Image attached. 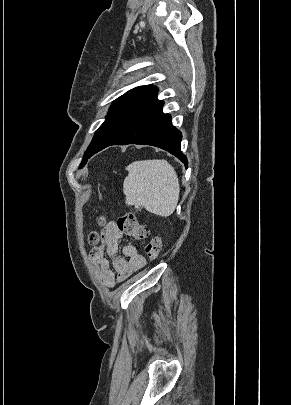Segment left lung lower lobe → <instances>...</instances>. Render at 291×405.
I'll return each mask as SVG.
<instances>
[{
	"mask_svg": "<svg viewBox=\"0 0 291 405\" xmlns=\"http://www.w3.org/2000/svg\"><path fill=\"white\" fill-rule=\"evenodd\" d=\"M157 91L156 87L149 90L139 103L128 127L110 145L156 146L176 156L187 168V158L180 149L182 134L172 126L170 115L162 112L163 101L156 98Z\"/></svg>",
	"mask_w": 291,
	"mask_h": 405,
	"instance_id": "0a47b994",
	"label": "left lung lower lobe"
}]
</instances>
